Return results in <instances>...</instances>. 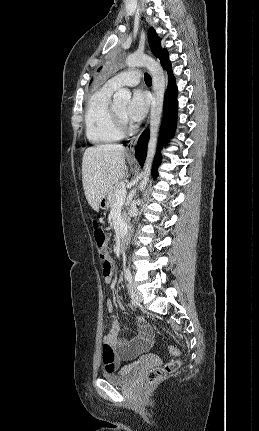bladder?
I'll return each instance as SVG.
<instances>
[{
    "instance_id": "obj_1",
    "label": "bladder",
    "mask_w": 259,
    "mask_h": 431,
    "mask_svg": "<svg viewBox=\"0 0 259 431\" xmlns=\"http://www.w3.org/2000/svg\"><path fill=\"white\" fill-rule=\"evenodd\" d=\"M136 370L135 366H125L117 371H104L102 377L110 383L122 384L129 381Z\"/></svg>"
}]
</instances>
